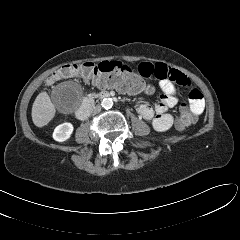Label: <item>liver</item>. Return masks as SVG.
Listing matches in <instances>:
<instances>
[{
  "instance_id": "1",
  "label": "liver",
  "mask_w": 240,
  "mask_h": 240,
  "mask_svg": "<svg viewBox=\"0 0 240 240\" xmlns=\"http://www.w3.org/2000/svg\"><path fill=\"white\" fill-rule=\"evenodd\" d=\"M56 110L47 92H41L32 106V121L37 127L47 125L55 116Z\"/></svg>"
}]
</instances>
